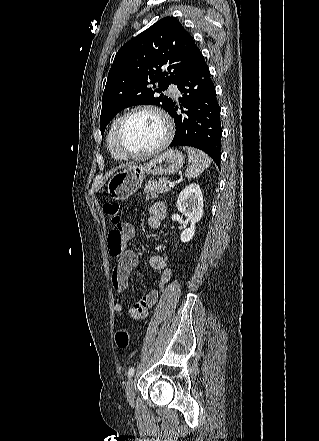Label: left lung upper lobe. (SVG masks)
Listing matches in <instances>:
<instances>
[{
    "instance_id": "1",
    "label": "left lung upper lobe",
    "mask_w": 319,
    "mask_h": 441,
    "mask_svg": "<svg viewBox=\"0 0 319 441\" xmlns=\"http://www.w3.org/2000/svg\"><path fill=\"white\" fill-rule=\"evenodd\" d=\"M192 36L174 17H165L128 41L117 52L102 97L100 130L121 110L153 104L168 113L174 102L156 92L178 84L200 55ZM158 83V89H154ZM153 84V87H151Z\"/></svg>"
}]
</instances>
